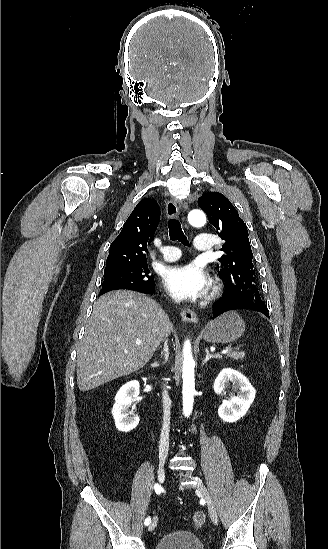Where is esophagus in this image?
I'll return each instance as SVG.
<instances>
[{
  "label": "esophagus",
  "instance_id": "1",
  "mask_svg": "<svg viewBox=\"0 0 328 549\" xmlns=\"http://www.w3.org/2000/svg\"><path fill=\"white\" fill-rule=\"evenodd\" d=\"M166 216L168 219H173L179 216V210L176 200H168L166 202ZM182 320L185 322H198V316L192 309H183L180 313Z\"/></svg>",
  "mask_w": 328,
  "mask_h": 549
}]
</instances>
